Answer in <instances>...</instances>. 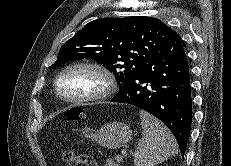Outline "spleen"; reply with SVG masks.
<instances>
[{
	"label": "spleen",
	"instance_id": "1",
	"mask_svg": "<svg viewBox=\"0 0 231 166\" xmlns=\"http://www.w3.org/2000/svg\"><path fill=\"white\" fill-rule=\"evenodd\" d=\"M142 139L134 153L135 166H155L178 153V144L167 127L150 113L140 110Z\"/></svg>",
	"mask_w": 231,
	"mask_h": 166
}]
</instances>
